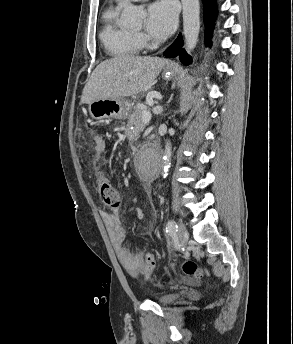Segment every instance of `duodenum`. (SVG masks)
<instances>
[{
    "label": "duodenum",
    "instance_id": "1",
    "mask_svg": "<svg viewBox=\"0 0 293 344\" xmlns=\"http://www.w3.org/2000/svg\"><path fill=\"white\" fill-rule=\"evenodd\" d=\"M137 155L136 156H134V161L137 159ZM158 167H160V163H158Z\"/></svg>",
    "mask_w": 293,
    "mask_h": 344
}]
</instances>
